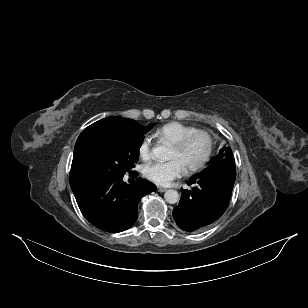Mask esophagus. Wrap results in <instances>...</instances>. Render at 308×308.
Here are the masks:
<instances>
[{"mask_svg":"<svg viewBox=\"0 0 308 308\" xmlns=\"http://www.w3.org/2000/svg\"><path fill=\"white\" fill-rule=\"evenodd\" d=\"M167 189L164 187H158V192H165Z\"/></svg>","mask_w":308,"mask_h":308,"instance_id":"34e87169","label":"esophagus"}]
</instances>
